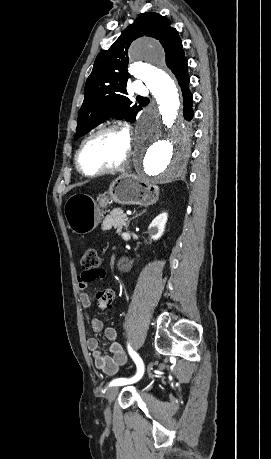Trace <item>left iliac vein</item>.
Listing matches in <instances>:
<instances>
[{"mask_svg":"<svg viewBox=\"0 0 271 459\" xmlns=\"http://www.w3.org/2000/svg\"><path fill=\"white\" fill-rule=\"evenodd\" d=\"M118 394V387L116 386H111L108 390H107V393H106V398H107V404L108 406H111L114 399L116 398ZM106 416H110L111 415V407H108L107 411H106Z\"/></svg>","mask_w":271,"mask_h":459,"instance_id":"4c4485c4","label":"left iliac vein"}]
</instances>
